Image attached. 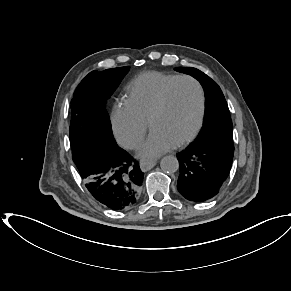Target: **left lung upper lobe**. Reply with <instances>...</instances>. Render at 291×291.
<instances>
[{
    "mask_svg": "<svg viewBox=\"0 0 291 291\" xmlns=\"http://www.w3.org/2000/svg\"><path fill=\"white\" fill-rule=\"evenodd\" d=\"M175 70L196 78L206 95V115L203 127L190 145H213L234 150L233 125L220 87L209 76L196 68L177 67Z\"/></svg>",
    "mask_w": 291,
    "mask_h": 291,
    "instance_id": "obj_1",
    "label": "left lung upper lobe"
}]
</instances>
